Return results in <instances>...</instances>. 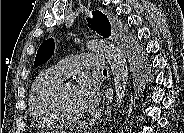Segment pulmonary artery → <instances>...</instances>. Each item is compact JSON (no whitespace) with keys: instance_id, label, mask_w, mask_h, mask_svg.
<instances>
[{"instance_id":"1","label":"pulmonary artery","mask_w":184,"mask_h":133,"mask_svg":"<svg viewBox=\"0 0 184 133\" xmlns=\"http://www.w3.org/2000/svg\"><path fill=\"white\" fill-rule=\"evenodd\" d=\"M105 57L97 54H77L61 59L55 66L56 70L64 78L87 68L92 70L105 69Z\"/></svg>"}]
</instances>
